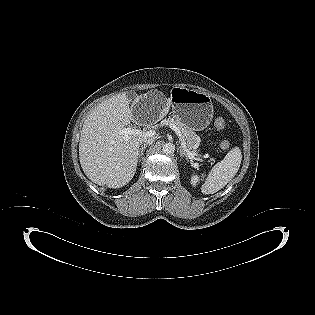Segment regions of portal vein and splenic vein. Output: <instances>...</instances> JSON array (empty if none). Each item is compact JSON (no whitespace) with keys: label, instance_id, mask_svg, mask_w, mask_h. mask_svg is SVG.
<instances>
[{"label":"portal vein and splenic vein","instance_id":"portal-vein-and-splenic-vein-1","mask_svg":"<svg viewBox=\"0 0 315 315\" xmlns=\"http://www.w3.org/2000/svg\"><path fill=\"white\" fill-rule=\"evenodd\" d=\"M169 127L179 137V140L181 141V146L184 149V151H186L188 157L190 159H195L196 153L191 152L187 148L186 142L184 140V137L182 136V133H181L180 129L174 124H170ZM119 134L124 135L125 137H127L128 135H137V136H140V137H153L155 135V131L142 132L141 130H138V129H135V128H131V127H127V128H123L122 130H120Z\"/></svg>","mask_w":315,"mask_h":315}]
</instances>
